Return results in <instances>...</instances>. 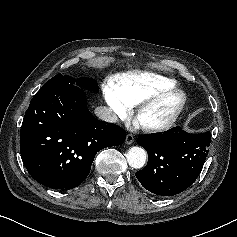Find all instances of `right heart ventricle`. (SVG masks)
I'll list each match as a JSON object with an SVG mask.
<instances>
[{"instance_id":"right-heart-ventricle-1","label":"right heart ventricle","mask_w":237,"mask_h":237,"mask_svg":"<svg viewBox=\"0 0 237 237\" xmlns=\"http://www.w3.org/2000/svg\"><path fill=\"white\" fill-rule=\"evenodd\" d=\"M113 83L122 97L132 106L176 85L172 79L150 72L121 74L114 78Z\"/></svg>"}]
</instances>
